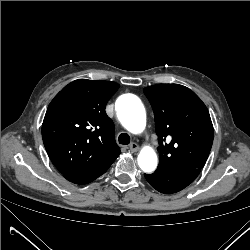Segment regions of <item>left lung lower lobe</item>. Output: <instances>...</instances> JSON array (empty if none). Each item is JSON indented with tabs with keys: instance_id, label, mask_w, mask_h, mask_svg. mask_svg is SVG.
<instances>
[{
	"instance_id": "obj_1",
	"label": "left lung lower lobe",
	"mask_w": 250,
	"mask_h": 250,
	"mask_svg": "<svg viewBox=\"0 0 250 250\" xmlns=\"http://www.w3.org/2000/svg\"><path fill=\"white\" fill-rule=\"evenodd\" d=\"M199 172L200 169L156 170L153 174H145V178L157 191L171 194L191 184Z\"/></svg>"
}]
</instances>
